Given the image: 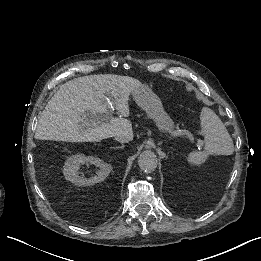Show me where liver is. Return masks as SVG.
<instances>
[{
  "label": "liver",
  "mask_w": 261,
  "mask_h": 261,
  "mask_svg": "<svg viewBox=\"0 0 261 261\" xmlns=\"http://www.w3.org/2000/svg\"><path fill=\"white\" fill-rule=\"evenodd\" d=\"M141 82L129 76L112 74L74 78L61 85L38 120L35 138L66 142H99L111 137L128 136L133 140L131 121L127 119L129 95ZM121 117L96 127L86 126L98 114L107 112L110 99ZM88 125V124H87Z\"/></svg>",
  "instance_id": "1"
}]
</instances>
